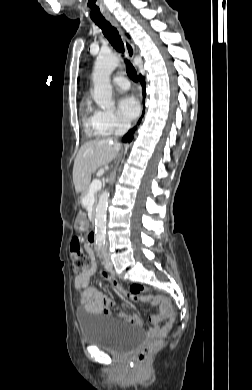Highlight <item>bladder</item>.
Instances as JSON below:
<instances>
[{
    "mask_svg": "<svg viewBox=\"0 0 252 390\" xmlns=\"http://www.w3.org/2000/svg\"><path fill=\"white\" fill-rule=\"evenodd\" d=\"M78 322L83 341L115 353L127 352L144 339V333L136 325L91 315L79 311Z\"/></svg>",
    "mask_w": 252,
    "mask_h": 390,
    "instance_id": "bladder-1",
    "label": "bladder"
}]
</instances>
